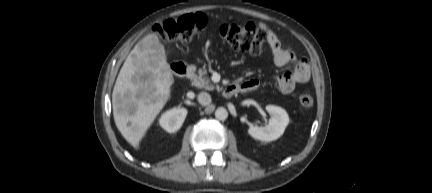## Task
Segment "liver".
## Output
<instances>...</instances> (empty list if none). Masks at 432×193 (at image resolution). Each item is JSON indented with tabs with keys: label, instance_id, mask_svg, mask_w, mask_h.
Returning <instances> with one entry per match:
<instances>
[{
	"label": "liver",
	"instance_id": "obj_1",
	"mask_svg": "<svg viewBox=\"0 0 432 193\" xmlns=\"http://www.w3.org/2000/svg\"><path fill=\"white\" fill-rule=\"evenodd\" d=\"M173 82L163 44L154 33L145 36L126 58L112 93L115 124L132 146L139 145L170 98Z\"/></svg>",
	"mask_w": 432,
	"mask_h": 193
}]
</instances>
